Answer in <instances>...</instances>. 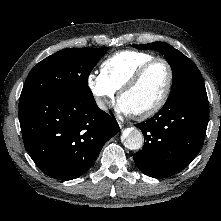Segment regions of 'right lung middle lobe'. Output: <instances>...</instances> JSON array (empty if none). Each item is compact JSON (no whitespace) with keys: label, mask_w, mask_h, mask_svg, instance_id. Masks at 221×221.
I'll return each mask as SVG.
<instances>
[{"label":"right lung middle lobe","mask_w":221,"mask_h":221,"mask_svg":"<svg viewBox=\"0 0 221 221\" xmlns=\"http://www.w3.org/2000/svg\"><path fill=\"white\" fill-rule=\"evenodd\" d=\"M108 48H68L39 62L29 73L20 99L92 96L88 76Z\"/></svg>","instance_id":"1"}]
</instances>
